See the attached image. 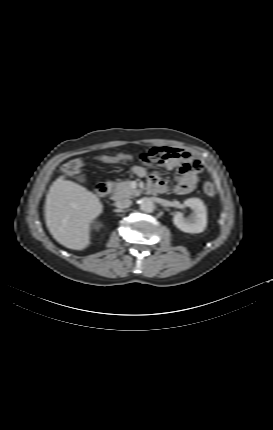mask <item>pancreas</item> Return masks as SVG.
<instances>
[{"instance_id":"pancreas-1","label":"pancreas","mask_w":273,"mask_h":430,"mask_svg":"<svg viewBox=\"0 0 273 430\" xmlns=\"http://www.w3.org/2000/svg\"><path fill=\"white\" fill-rule=\"evenodd\" d=\"M112 190L114 194V200H119L123 198H132L139 192L130 186V181L125 180L119 183H112Z\"/></svg>"}]
</instances>
